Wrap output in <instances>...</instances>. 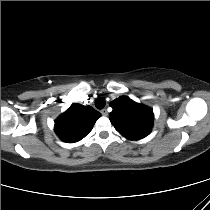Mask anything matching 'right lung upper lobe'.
Returning a JSON list of instances; mask_svg holds the SVG:
<instances>
[{"label":"right lung upper lobe","instance_id":"1","mask_svg":"<svg viewBox=\"0 0 210 210\" xmlns=\"http://www.w3.org/2000/svg\"><path fill=\"white\" fill-rule=\"evenodd\" d=\"M101 114L91 106L72 104L55 122V132L67 143L78 142L93 128Z\"/></svg>","mask_w":210,"mask_h":210}]
</instances>
